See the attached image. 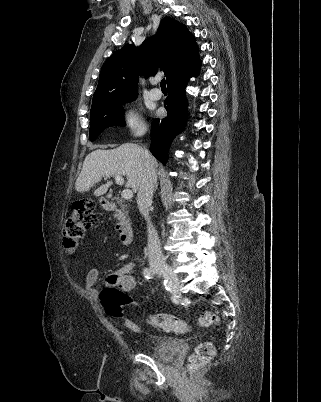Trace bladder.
Here are the masks:
<instances>
[{
    "label": "bladder",
    "instance_id": "31cf9c89",
    "mask_svg": "<svg viewBox=\"0 0 321 402\" xmlns=\"http://www.w3.org/2000/svg\"><path fill=\"white\" fill-rule=\"evenodd\" d=\"M176 352L177 346L174 339L166 336L162 337L152 349V354L162 360L172 359Z\"/></svg>",
    "mask_w": 321,
    "mask_h": 402
}]
</instances>
